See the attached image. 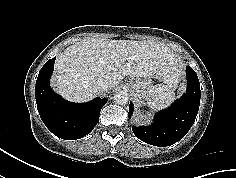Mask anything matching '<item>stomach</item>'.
<instances>
[{"label":"stomach","instance_id":"obj_1","mask_svg":"<svg viewBox=\"0 0 236 178\" xmlns=\"http://www.w3.org/2000/svg\"><path fill=\"white\" fill-rule=\"evenodd\" d=\"M129 87L132 95L137 100L147 99L149 92L152 89V80L151 78L132 79L129 83Z\"/></svg>","mask_w":236,"mask_h":178}]
</instances>
